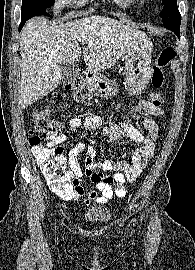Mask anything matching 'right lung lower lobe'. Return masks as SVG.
<instances>
[{
    "instance_id": "right-lung-lower-lobe-1",
    "label": "right lung lower lobe",
    "mask_w": 195,
    "mask_h": 270,
    "mask_svg": "<svg viewBox=\"0 0 195 270\" xmlns=\"http://www.w3.org/2000/svg\"><path fill=\"white\" fill-rule=\"evenodd\" d=\"M34 16H37L35 13L33 12H22V15H21V24L19 25V31L22 29L23 25L25 24V22L34 17Z\"/></svg>"
}]
</instances>
